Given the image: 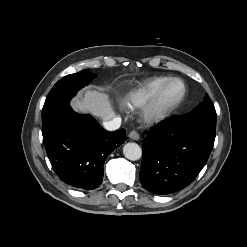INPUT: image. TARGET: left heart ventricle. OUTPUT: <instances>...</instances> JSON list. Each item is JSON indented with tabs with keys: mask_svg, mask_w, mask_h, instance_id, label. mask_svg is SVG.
I'll list each match as a JSON object with an SVG mask.
<instances>
[{
	"mask_svg": "<svg viewBox=\"0 0 247 247\" xmlns=\"http://www.w3.org/2000/svg\"><path fill=\"white\" fill-rule=\"evenodd\" d=\"M182 91V86L179 82H172L170 83L162 96V102L163 104H170L172 103L174 100H176L179 95L181 94Z\"/></svg>",
	"mask_w": 247,
	"mask_h": 247,
	"instance_id": "left-heart-ventricle-1",
	"label": "left heart ventricle"
}]
</instances>
